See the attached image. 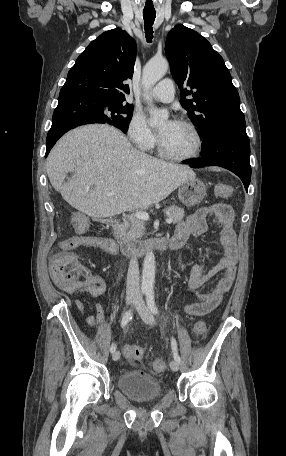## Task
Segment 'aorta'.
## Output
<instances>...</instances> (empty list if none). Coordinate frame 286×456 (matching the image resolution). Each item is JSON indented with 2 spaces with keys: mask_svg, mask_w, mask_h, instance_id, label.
<instances>
[{
  "mask_svg": "<svg viewBox=\"0 0 286 456\" xmlns=\"http://www.w3.org/2000/svg\"><path fill=\"white\" fill-rule=\"evenodd\" d=\"M169 68L168 61L165 58H152L144 67L142 74V84L145 91H148L162 77L165 76ZM145 99L150 106V125L157 126L168 119L169 113L166 110H159L154 107L152 100L148 95ZM155 283V256L152 251L145 255L142 267L141 288L143 291H153Z\"/></svg>",
  "mask_w": 286,
  "mask_h": 456,
  "instance_id": "aorta-1",
  "label": "aorta"
}]
</instances>
